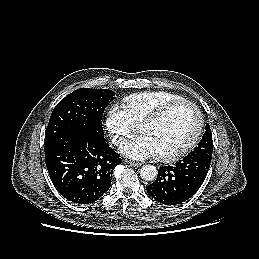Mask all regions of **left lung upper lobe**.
Here are the masks:
<instances>
[{
	"label": "left lung upper lobe",
	"instance_id": "left-lung-upper-lobe-1",
	"mask_svg": "<svg viewBox=\"0 0 259 259\" xmlns=\"http://www.w3.org/2000/svg\"><path fill=\"white\" fill-rule=\"evenodd\" d=\"M205 130V134L203 135L201 141L198 143V146H196L194 150L189 153V155L203 157L205 159L211 160L213 142L209 124H206Z\"/></svg>",
	"mask_w": 259,
	"mask_h": 259
}]
</instances>
